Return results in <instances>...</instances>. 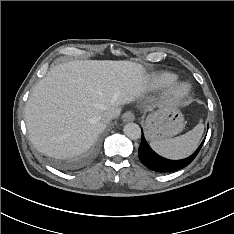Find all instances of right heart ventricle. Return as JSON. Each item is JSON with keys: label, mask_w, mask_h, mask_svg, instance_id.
Listing matches in <instances>:
<instances>
[{"label": "right heart ventricle", "mask_w": 234, "mask_h": 234, "mask_svg": "<svg viewBox=\"0 0 234 234\" xmlns=\"http://www.w3.org/2000/svg\"><path fill=\"white\" fill-rule=\"evenodd\" d=\"M175 79V76L170 73H161L155 77V83L159 85L167 84L172 82Z\"/></svg>", "instance_id": "e07e8e85"}]
</instances>
